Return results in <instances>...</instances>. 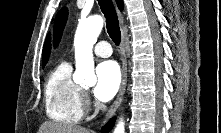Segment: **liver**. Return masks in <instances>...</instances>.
<instances>
[{
  "instance_id": "6515ba94",
  "label": "liver",
  "mask_w": 221,
  "mask_h": 133,
  "mask_svg": "<svg viewBox=\"0 0 221 133\" xmlns=\"http://www.w3.org/2000/svg\"><path fill=\"white\" fill-rule=\"evenodd\" d=\"M38 133H92L89 129L80 126L68 125L57 122H45Z\"/></svg>"
}]
</instances>
